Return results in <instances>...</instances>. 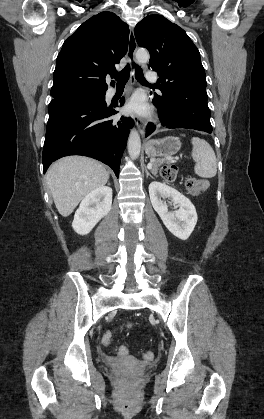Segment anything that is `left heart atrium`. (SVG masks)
Masks as SVG:
<instances>
[{"mask_svg":"<svg viewBox=\"0 0 264 419\" xmlns=\"http://www.w3.org/2000/svg\"><path fill=\"white\" fill-rule=\"evenodd\" d=\"M127 110L136 114L145 115L148 113L149 108L146 104L145 98L141 93H136L130 99Z\"/></svg>","mask_w":264,"mask_h":419,"instance_id":"obj_1","label":"left heart atrium"}]
</instances>
